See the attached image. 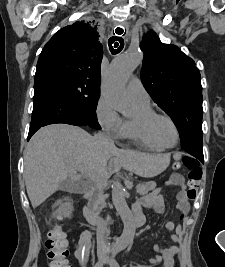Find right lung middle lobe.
<instances>
[{
    "label": "right lung middle lobe",
    "mask_w": 225,
    "mask_h": 267,
    "mask_svg": "<svg viewBox=\"0 0 225 267\" xmlns=\"http://www.w3.org/2000/svg\"><path fill=\"white\" fill-rule=\"evenodd\" d=\"M45 78L63 91L70 102L83 113L90 127L101 128L96 117V107L100 97L99 85L60 74L48 75Z\"/></svg>",
    "instance_id": "1"
}]
</instances>
